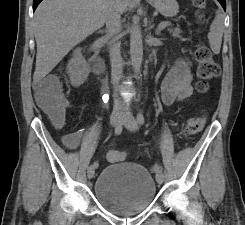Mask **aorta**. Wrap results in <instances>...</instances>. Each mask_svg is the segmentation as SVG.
Returning <instances> with one entry per match:
<instances>
[{"label": "aorta", "instance_id": "762f6f07", "mask_svg": "<svg viewBox=\"0 0 245 225\" xmlns=\"http://www.w3.org/2000/svg\"><path fill=\"white\" fill-rule=\"evenodd\" d=\"M130 56L134 72L139 74L143 60V42L141 28L136 22L130 28Z\"/></svg>", "mask_w": 245, "mask_h": 225}]
</instances>
